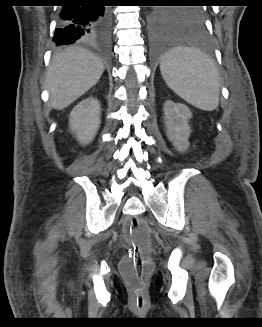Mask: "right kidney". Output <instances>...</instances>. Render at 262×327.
<instances>
[{
  "mask_svg": "<svg viewBox=\"0 0 262 327\" xmlns=\"http://www.w3.org/2000/svg\"><path fill=\"white\" fill-rule=\"evenodd\" d=\"M69 125L81 144L93 139L100 125V103L88 97L76 105L70 113Z\"/></svg>",
  "mask_w": 262,
  "mask_h": 327,
  "instance_id": "right-kidney-1",
  "label": "right kidney"
}]
</instances>
